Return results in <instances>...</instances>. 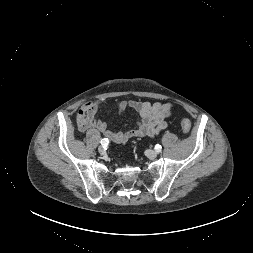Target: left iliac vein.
Masks as SVG:
<instances>
[{
    "mask_svg": "<svg viewBox=\"0 0 253 253\" xmlns=\"http://www.w3.org/2000/svg\"><path fill=\"white\" fill-rule=\"evenodd\" d=\"M157 155H158L157 151H153V150L146 151V156L150 159H155Z\"/></svg>",
    "mask_w": 253,
    "mask_h": 253,
    "instance_id": "1",
    "label": "left iliac vein"
}]
</instances>
